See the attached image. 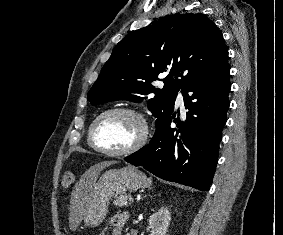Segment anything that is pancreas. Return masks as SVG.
<instances>
[{"label":"pancreas","mask_w":283,"mask_h":235,"mask_svg":"<svg viewBox=\"0 0 283 235\" xmlns=\"http://www.w3.org/2000/svg\"><path fill=\"white\" fill-rule=\"evenodd\" d=\"M131 195H122L119 197H116L115 200L113 201V204L118 206V207H124L128 206V203L131 202Z\"/></svg>","instance_id":"1"}]
</instances>
